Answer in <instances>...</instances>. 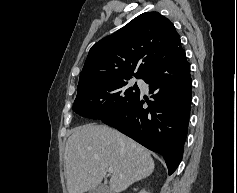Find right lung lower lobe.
I'll return each mask as SVG.
<instances>
[{"instance_id": "1", "label": "right lung lower lobe", "mask_w": 237, "mask_h": 193, "mask_svg": "<svg viewBox=\"0 0 237 193\" xmlns=\"http://www.w3.org/2000/svg\"><path fill=\"white\" fill-rule=\"evenodd\" d=\"M143 79L153 101L140 93L120 112L101 120L162 155L171 175L183 155L192 96L190 64L184 50L155 66ZM145 102L147 108L143 107Z\"/></svg>"}]
</instances>
